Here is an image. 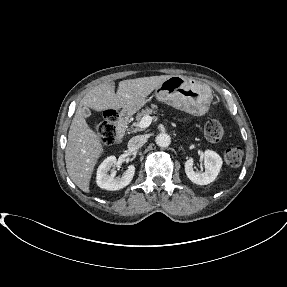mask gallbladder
<instances>
[{"instance_id":"obj_1","label":"gallbladder","mask_w":287,"mask_h":287,"mask_svg":"<svg viewBox=\"0 0 287 287\" xmlns=\"http://www.w3.org/2000/svg\"><path fill=\"white\" fill-rule=\"evenodd\" d=\"M83 114L85 118H89L91 116V111L89 110V108L84 107L83 108Z\"/></svg>"}]
</instances>
